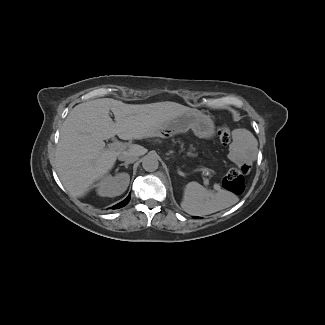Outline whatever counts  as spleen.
I'll return each mask as SVG.
<instances>
[{
  "instance_id": "obj_1",
  "label": "spleen",
  "mask_w": 325,
  "mask_h": 325,
  "mask_svg": "<svg viewBox=\"0 0 325 325\" xmlns=\"http://www.w3.org/2000/svg\"><path fill=\"white\" fill-rule=\"evenodd\" d=\"M233 204L226 191L213 193L197 182H189L184 188L181 207L195 216H203L228 208Z\"/></svg>"
}]
</instances>
